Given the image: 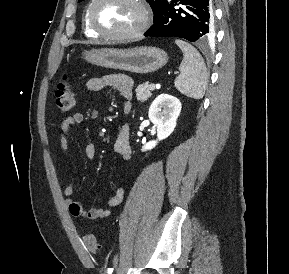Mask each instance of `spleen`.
I'll use <instances>...</instances> for the list:
<instances>
[{
    "label": "spleen",
    "mask_w": 289,
    "mask_h": 274,
    "mask_svg": "<svg viewBox=\"0 0 289 274\" xmlns=\"http://www.w3.org/2000/svg\"><path fill=\"white\" fill-rule=\"evenodd\" d=\"M176 45L183 52L180 75L175 79V87L188 97L201 99L207 86V69L200 53L189 43L176 39Z\"/></svg>",
    "instance_id": "spleen-1"
}]
</instances>
